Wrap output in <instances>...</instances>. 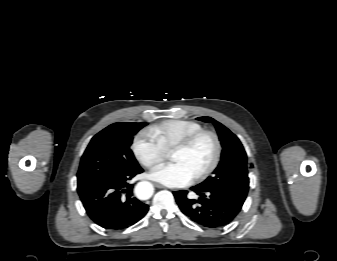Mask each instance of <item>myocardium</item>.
<instances>
[{"instance_id": "obj_1", "label": "myocardium", "mask_w": 337, "mask_h": 261, "mask_svg": "<svg viewBox=\"0 0 337 261\" xmlns=\"http://www.w3.org/2000/svg\"><path fill=\"white\" fill-rule=\"evenodd\" d=\"M203 136H210L213 139L214 144H215V152H214L213 160L210 163V165L204 171L194 176V179L196 181L206 179L218 167L220 160H221V155H222V141L220 139V136L213 130L202 129L186 137L172 150V153L177 152V151L188 150Z\"/></svg>"}]
</instances>
